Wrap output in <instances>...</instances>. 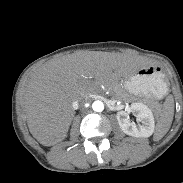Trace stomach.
Here are the masks:
<instances>
[{"label":"stomach","mask_w":183,"mask_h":183,"mask_svg":"<svg viewBox=\"0 0 183 183\" xmlns=\"http://www.w3.org/2000/svg\"><path fill=\"white\" fill-rule=\"evenodd\" d=\"M123 88L131 94L150 99L162 98L167 92L165 75L153 66H146L125 78Z\"/></svg>","instance_id":"0dacf381"}]
</instances>
